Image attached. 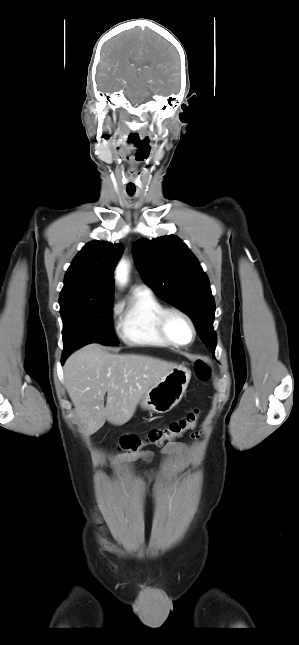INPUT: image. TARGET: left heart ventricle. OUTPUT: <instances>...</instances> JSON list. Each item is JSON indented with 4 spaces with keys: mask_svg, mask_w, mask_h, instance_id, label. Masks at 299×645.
Returning <instances> with one entry per match:
<instances>
[{
    "mask_svg": "<svg viewBox=\"0 0 299 645\" xmlns=\"http://www.w3.org/2000/svg\"><path fill=\"white\" fill-rule=\"evenodd\" d=\"M168 330L171 336L178 342L185 343L191 338V329L188 323L178 315H173L169 318Z\"/></svg>",
    "mask_w": 299,
    "mask_h": 645,
    "instance_id": "left-heart-ventricle-1",
    "label": "left heart ventricle"
}]
</instances>
